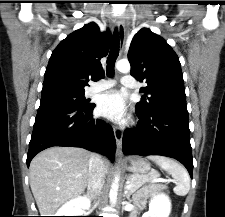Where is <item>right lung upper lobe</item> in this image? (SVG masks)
<instances>
[{
    "instance_id": "1",
    "label": "right lung upper lobe",
    "mask_w": 225,
    "mask_h": 217,
    "mask_svg": "<svg viewBox=\"0 0 225 217\" xmlns=\"http://www.w3.org/2000/svg\"><path fill=\"white\" fill-rule=\"evenodd\" d=\"M110 38V32H100L94 22L67 36L52 52L41 93L85 92L89 78L104 76L100 59L108 53Z\"/></svg>"
}]
</instances>
